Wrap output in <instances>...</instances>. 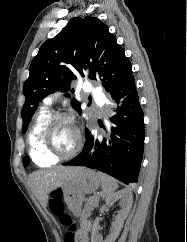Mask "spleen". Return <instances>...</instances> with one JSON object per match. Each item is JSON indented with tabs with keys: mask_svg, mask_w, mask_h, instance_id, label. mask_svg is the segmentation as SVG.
Listing matches in <instances>:
<instances>
[{
	"mask_svg": "<svg viewBox=\"0 0 187 242\" xmlns=\"http://www.w3.org/2000/svg\"><path fill=\"white\" fill-rule=\"evenodd\" d=\"M98 176L101 180L102 183V193L101 196L102 197H110L114 194L115 190L118 189V184L116 182L115 179H113L112 177H110L109 175L105 174V173H98Z\"/></svg>",
	"mask_w": 187,
	"mask_h": 242,
	"instance_id": "3e777b00",
	"label": "spleen"
}]
</instances>
